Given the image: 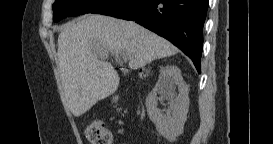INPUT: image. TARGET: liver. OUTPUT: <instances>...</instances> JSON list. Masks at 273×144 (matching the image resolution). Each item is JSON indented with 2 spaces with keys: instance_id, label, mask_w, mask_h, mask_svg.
Listing matches in <instances>:
<instances>
[{
  "instance_id": "liver-1",
  "label": "liver",
  "mask_w": 273,
  "mask_h": 144,
  "mask_svg": "<svg viewBox=\"0 0 273 144\" xmlns=\"http://www.w3.org/2000/svg\"><path fill=\"white\" fill-rule=\"evenodd\" d=\"M129 54V67L138 69L153 60L174 55L169 41L132 21L86 15L68 23L58 36L57 66L65 99L75 117L113 94L119 76L109 54Z\"/></svg>"
}]
</instances>
